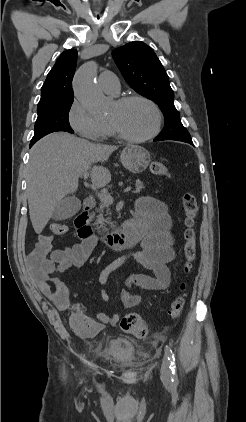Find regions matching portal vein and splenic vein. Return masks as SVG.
Returning a JSON list of instances; mask_svg holds the SVG:
<instances>
[{
    "label": "portal vein and splenic vein",
    "instance_id": "obj_1",
    "mask_svg": "<svg viewBox=\"0 0 246 422\" xmlns=\"http://www.w3.org/2000/svg\"><path fill=\"white\" fill-rule=\"evenodd\" d=\"M88 177H89L88 172H85V173L83 174V178H84V180H86ZM129 191H131V187H127V188H125V189L123 190V192H124V193L129 192ZM98 197H99L101 200H103V201L107 202L108 204H112V203H113V201H114L113 197H112L111 195H109L108 193H98Z\"/></svg>",
    "mask_w": 246,
    "mask_h": 422
}]
</instances>
